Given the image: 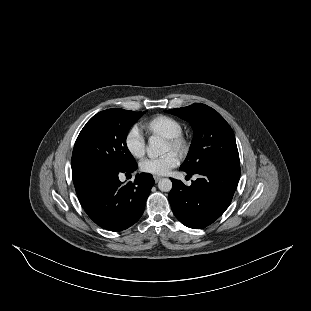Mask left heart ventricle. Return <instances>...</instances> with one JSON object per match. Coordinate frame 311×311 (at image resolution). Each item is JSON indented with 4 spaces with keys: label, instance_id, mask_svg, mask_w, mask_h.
<instances>
[{
    "label": "left heart ventricle",
    "instance_id": "obj_1",
    "mask_svg": "<svg viewBox=\"0 0 311 311\" xmlns=\"http://www.w3.org/2000/svg\"><path fill=\"white\" fill-rule=\"evenodd\" d=\"M172 146L167 142V145H166V152L169 151V150H172Z\"/></svg>",
    "mask_w": 311,
    "mask_h": 311
}]
</instances>
